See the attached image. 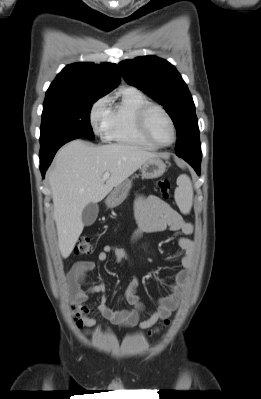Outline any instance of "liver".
I'll return each mask as SVG.
<instances>
[{
    "label": "liver",
    "mask_w": 261,
    "mask_h": 399,
    "mask_svg": "<svg viewBox=\"0 0 261 399\" xmlns=\"http://www.w3.org/2000/svg\"><path fill=\"white\" fill-rule=\"evenodd\" d=\"M154 157L157 155L134 145L91 146L82 140L71 141L59 150L48 179L63 258L70 256L83 231L85 206L103 200L114 187ZM105 172L110 176L104 182Z\"/></svg>",
    "instance_id": "obj_1"
}]
</instances>
